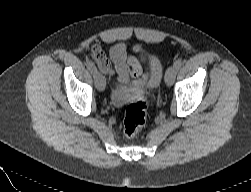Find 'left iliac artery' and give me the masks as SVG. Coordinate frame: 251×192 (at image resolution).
Wrapping results in <instances>:
<instances>
[{"instance_id":"obj_1","label":"left iliac artery","mask_w":251,"mask_h":192,"mask_svg":"<svg viewBox=\"0 0 251 192\" xmlns=\"http://www.w3.org/2000/svg\"><path fill=\"white\" fill-rule=\"evenodd\" d=\"M182 66V60L178 59L174 62L173 64V67L176 69V70H179Z\"/></svg>"}]
</instances>
